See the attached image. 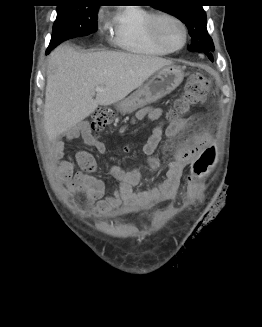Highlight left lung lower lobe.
Instances as JSON below:
<instances>
[{
    "mask_svg": "<svg viewBox=\"0 0 262 327\" xmlns=\"http://www.w3.org/2000/svg\"><path fill=\"white\" fill-rule=\"evenodd\" d=\"M211 61H213V56H212V52H204Z\"/></svg>",
    "mask_w": 262,
    "mask_h": 327,
    "instance_id": "obj_1",
    "label": "left lung lower lobe"
}]
</instances>
